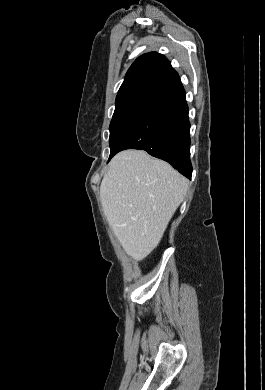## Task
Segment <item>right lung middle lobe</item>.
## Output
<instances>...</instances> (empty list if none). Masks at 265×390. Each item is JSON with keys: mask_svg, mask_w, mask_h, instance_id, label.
<instances>
[{"mask_svg": "<svg viewBox=\"0 0 265 390\" xmlns=\"http://www.w3.org/2000/svg\"><path fill=\"white\" fill-rule=\"evenodd\" d=\"M154 99L148 97H133L123 101L116 102L115 111L110 123V157L115 152L116 144L125 129L133 120L142 113Z\"/></svg>", "mask_w": 265, "mask_h": 390, "instance_id": "right-lung-middle-lobe-1", "label": "right lung middle lobe"}]
</instances>
